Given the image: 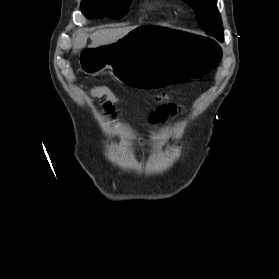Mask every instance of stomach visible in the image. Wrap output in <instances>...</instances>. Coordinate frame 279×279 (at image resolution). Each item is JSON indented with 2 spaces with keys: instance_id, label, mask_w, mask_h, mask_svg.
Returning a JSON list of instances; mask_svg holds the SVG:
<instances>
[{
  "instance_id": "0dacf381",
  "label": "stomach",
  "mask_w": 279,
  "mask_h": 279,
  "mask_svg": "<svg viewBox=\"0 0 279 279\" xmlns=\"http://www.w3.org/2000/svg\"><path fill=\"white\" fill-rule=\"evenodd\" d=\"M101 47L106 50H81V75L98 78L115 73L134 91H166L181 82H210L220 72L215 64L221 59L217 43L173 25H135L116 43Z\"/></svg>"
}]
</instances>
